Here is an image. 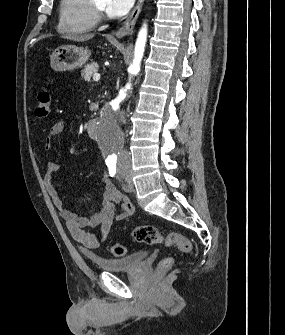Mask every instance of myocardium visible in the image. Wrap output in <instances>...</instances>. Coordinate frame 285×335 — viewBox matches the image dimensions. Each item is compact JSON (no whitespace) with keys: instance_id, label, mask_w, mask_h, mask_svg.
<instances>
[{"instance_id":"obj_1","label":"myocardium","mask_w":285,"mask_h":335,"mask_svg":"<svg viewBox=\"0 0 285 335\" xmlns=\"http://www.w3.org/2000/svg\"><path fill=\"white\" fill-rule=\"evenodd\" d=\"M96 2V13H97V20L99 22H104L107 20L105 17V8L101 1H95Z\"/></svg>"}]
</instances>
